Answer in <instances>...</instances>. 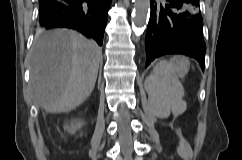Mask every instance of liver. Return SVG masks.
<instances>
[{
  "mask_svg": "<svg viewBox=\"0 0 242 160\" xmlns=\"http://www.w3.org/2000/svg\"><path fill=\"white\" fill-rule=\"evenodd\" d=\"M102 49L71 30L35 37L31 53L30 94L48 113L69 112L92 93Z\"/></svg>",
  "mask_w": 242,
  "mask_h": 160,
  "instance_id": "obj_1",
  "label": "liver"
}]
</instances>
